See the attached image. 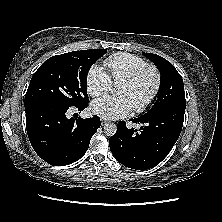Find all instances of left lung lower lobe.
<instances>
[{"label": "left lung lower lobe", "mask_w": 222, "mask_h": 222, "mask_svg": "<svg viewBox=\"0 0 222 222\" xmlns=\"http://www.w3.org/2000/svg\"><path fill=\"white\" fill-rule=\"evenodd\" d=\"M186 106L173 104L131 119L144 124L139 131L117 124L110 138L113 156L126 167L147 170L159 164L176 143L183 126Z\"/></svg>", "instance_id": "1"}]
</instances>
